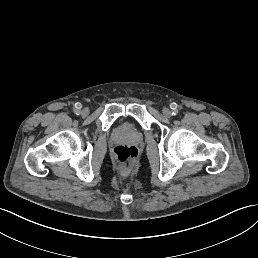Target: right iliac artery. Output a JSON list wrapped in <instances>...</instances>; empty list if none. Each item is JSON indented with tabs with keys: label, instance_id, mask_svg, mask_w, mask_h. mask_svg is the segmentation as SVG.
<instances>
[{
	"label": "right iliac artery",
	"instance_id": "obj_1",
	"mask_svg": "<svg viewBox=\"0 0 258 258\" xmlns=\"http://www.w3.org/2000/svg\"><path fill=\"white\" fill-rule=\"evenodd\" d=\"M74 113H75L76 115H80V114H81V111H80V110H75Z\"/></svg>",
	"mask_w": 258,
	"mask_h": 258
}]
</instances>
